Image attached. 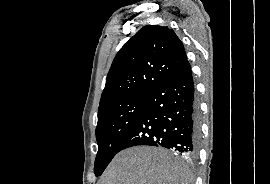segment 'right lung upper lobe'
Instances as JSON below:
<instances>
[{
    "label": "right lung upper lobe",
    "mask_w": 270,
    "mask_h": 184,
    "mask_svg": "<svg viewBox=\"0 0 270 184\" xmlns=\"http://www.w3.org/2000/svg\"><path fill=\"white\" fill-rule=\"evenodd\" d=\"M187 61L183 43L172 29L143 27L114 58L99 110L131 96H148Z\"/></svg>",
    "instance_id": "1"
}]
</instances>
